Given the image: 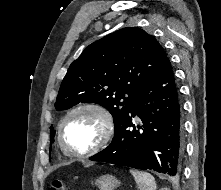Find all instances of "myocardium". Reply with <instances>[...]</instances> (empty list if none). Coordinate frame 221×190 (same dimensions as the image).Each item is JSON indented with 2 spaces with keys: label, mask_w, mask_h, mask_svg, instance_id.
I'll return each instance as SVG.
<instances>
[{
  "label": "myocardium",
  "mask_w": 221,
  "mask_h": 190,
  "mask_svg": "<svg viewBox=\"0 0 221 190\" xmlns=\"http://www.w3.org/2000/svg\"><path fill=\"white\" fill-rule=\"evenodd\" d=\"M80 111H92L96 113L100 117L102 123V130L97 143L84 151H77L69 148L63 139V128L65 123L72 115ZM114 130H115L114 118L111 112L108 110V108H106L104 105L99 103L87 102L73 107L63 116L58 126V140L62 150L66 154L74 157H86L95 154L98 151L105 148L106 145L112 139L114 135Z\"/></svg>",
  "instance_id": "obj_1"
}]
</instances>
